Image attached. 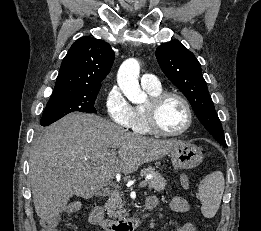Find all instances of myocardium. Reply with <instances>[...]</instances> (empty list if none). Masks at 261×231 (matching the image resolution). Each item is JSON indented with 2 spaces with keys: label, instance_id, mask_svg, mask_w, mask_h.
<instances>
[{
  "label": "myocardium",
  "instance_id": "1",
  "mask_svg": "<svg viewBox=\"0 0 261 231\" xmlns=\"http://www.w3.org/2000/svg\"><path fill=\"white\" fill-rule=\"evenodd\" d=\"M169 98H176L181 101L183 104L186 114H187V121L185 126L175 132H168L163 130L159 123H158V112L161 107V105L168 100ZM144 111H145V119L148 127L152 131V133L161 135V136H167V137H174V136H180L184 133H186L193 124V111L192 107L189 103V101L181 94L177 92L172 91H166L161 92L160 94L153 96L149 99V101L144 105Z\"/></svg>",
  "mask_w": 261,
  "mask_h": 231
}]
</instances>
